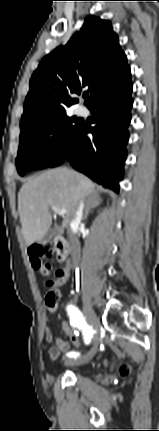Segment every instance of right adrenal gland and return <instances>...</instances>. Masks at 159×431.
Returning a JSON list of instances; mask_svg holds the SVG:
<instances>
[{"mask_svg": "<svg viewBox=\"0 0 159 431\" xmlns=\"http://www.w3.org/2000/svg\"><path fill=\"white\" fill-rule=\"evenodd\" d=\"M101 202L99 195L94 192L88 199L87 206L85 208L84 219L88 217V214L92 208L99 205Z\"/></svg>", "mask_w": 159, "mask_h": 431, "instance_id": "obj_1", "label": "right adrenal gland"}]
</instances>
